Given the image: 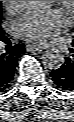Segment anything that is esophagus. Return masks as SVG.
<instances>
[{
	"label": "esophagus",
	"mask_w": 74,
	"mask_h": 122,
	"mask_svg": "<svg viewBox=\"0 0 74 122\" xmlns=\"http://www.w3.org/2000/svg\"><path fill=\"white\" fill-rule=\"evenodd\" d=\"M26 49H27L28 51H32V50H34V51H42V50L46 49V46H45V45H41V44H37V45H27V46H26Z\"/></svg>",
	"instance_id": "esophagus-1"
}]
</instances>
